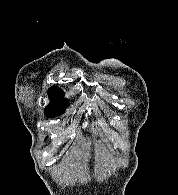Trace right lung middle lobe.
<instances>
[{
  "mask_svg": "<svg viewBox=\"0 0 178 195\" xmlns=\"http://www.w3.org/2000/svg\"><path fill=\"white\" fill-rule=\"evenodd\" d=\"M65 108L60 107H46L45 108V115L48 117H56L64 113Z\"/></svg>",
  "mask_w": 178,
  "mask_h": 195,
  "instance_id": "1",
  "label": "right lung middle lobe"
}]
</instances>
